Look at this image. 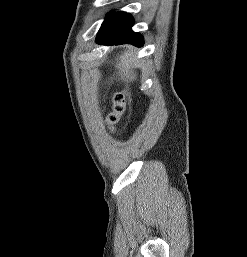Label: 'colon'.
<instances>
[{
  "label": "colon",
  "instance_id": "5ec220e1",
  "mask_svg": "<svg viewBox=\"0 0 247 257\" xmlns=\"http://www.w3.org/2000/svg\"><path fill=\"white\" fill-rule=\"evenodd\" d=\"M126 112V97L123 93H116L113 96V105L110 113L107 116V123L111 131H114L115 126Z\"/></svg>",
  "mask_w": 247,
  "mask_h": 257
}]
</instances>
